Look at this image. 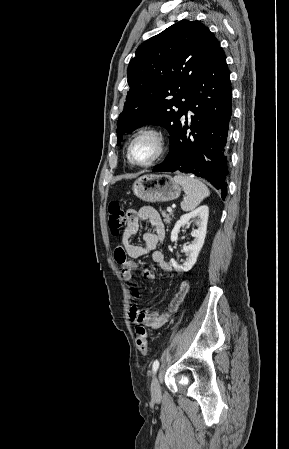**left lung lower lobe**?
<instances>
[{
    "mask_svg": "<svg viewBox=\"0 0 289 449\" xmlns=\"http://www.w3.org/2000/svg\"><path fill=\"white\" fill-rule=\"evenodd\" d=\"M232 89L224 51L204 65L189 93L183 118L170 140V151L153 171L191 173L207 179L221 197L227 194L226 150L232 115ZM187 110L193 115L188 122ZM190 129L191 132H187Z\"/></svg>",
    "mask_w": 289,
    "mask_h": 449,
    "instance_id": "0a47b994",
    "label": "left lung lower lobe"
}]
</instances>
